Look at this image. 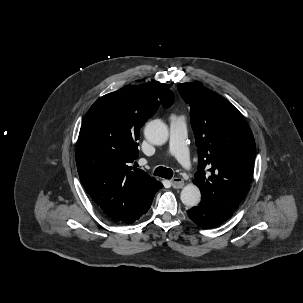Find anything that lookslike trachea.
Masks as SVG:
<instances>
[{"mask_svg": "<svg viewBox=\"0 0 303 303\" xmlns=\"http://www.w3.org/2000/svg\"><path fill=\"white\" fill-rule=\"evenodd\" d=\"M154 175L165 179H171L173 177V171L170 168L159 166L155 169Z\"/></svg>", "mask_w": 303, "mask_h": 303, "instance_id": "trachea-1", "label": "trachea"}]
</instances>
